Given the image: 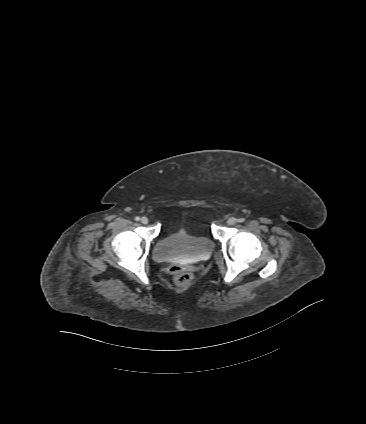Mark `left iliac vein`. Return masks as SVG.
Masks as SVG:
<instances>
[{
  "instance_id": "1",
  "label": "left iliac vein",
  "mask_w": 366,
  "mask_h": 424,
  "mask_svg": "<svg viewBox=\"0 0 366 424\" xmlns=\"http://www.w3.org/2000/svg\"><path fill=\"white\" fill-rule=\"evenodd\" d=\"M237 222V219L234 217H231L227 220L228 225H234Z\"/></svg>"
}]
</instances>
